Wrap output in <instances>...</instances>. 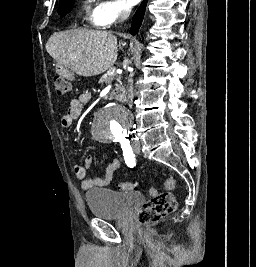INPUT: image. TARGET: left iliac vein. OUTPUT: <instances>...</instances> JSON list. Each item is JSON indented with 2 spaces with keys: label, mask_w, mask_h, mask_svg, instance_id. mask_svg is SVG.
<instances>
[{
  "label": "left iliac vein",
  "mask_w": 256,
  "mask_h": 267,
  "mask_svg": "<svg viewBox=\"0 0 256 267\" xmlns=\"http://www.w3.org/2000/svg\"><path fill=\"white\" fill-rule=\"evenodd\" d=\"M132 148H133V151L136 153V154H139L140 153V145L138 142L134 141L132 143Z\"/></svg>",
  "instance_id": "1"
}]
</instances>
